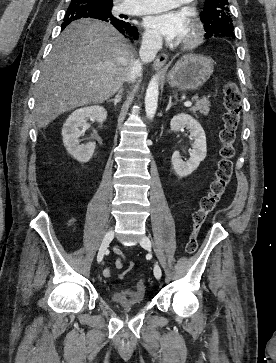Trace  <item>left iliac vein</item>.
Wrapping results in <instances>:
<instances>
[{"mask_svg": "<svg viewBox=\"0 0 276 363\" xmlns=\"http://www.w3.org/2000/svg\"><path fill=\"white\" fill-rule=\"evenodd\" d=\"M140 244H141V246H142L144 249H146V250H148V251H150V250H151L152 244H151L150 239H149L147 236H144V237L141 239ZM154 275H155V277H156L157 279H160V278H161V276H162V271H161V268H160V266H159V264H158V263H155V265H154Z\"/></svg>", "mask_w": 276, "mask_h": 363, "instance_id": "4c4485c4", "label": "left iliac vein"}]
</instances>
